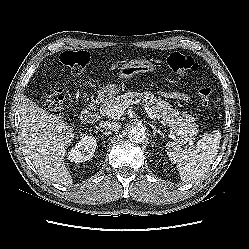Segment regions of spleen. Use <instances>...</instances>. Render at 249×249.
<instances>
[{"instance_id": "3e777b00", "label": "spleen", "mask_w": 249, "mask_h": 249, "mask_svg": "<svg viewBox=\"0 0 249 249\" xmlns=\"http://www.w3.org/2000/svg\"><path fill=\"white\" fill-rule=\"evenodd\" d=\"M221 133L213 131L201 138L194 149H183L176 142L166 144L170 161L177 164L181 180L194 181L202 177L210 168L218 154Z\"/></svg>"}]
</instances>
